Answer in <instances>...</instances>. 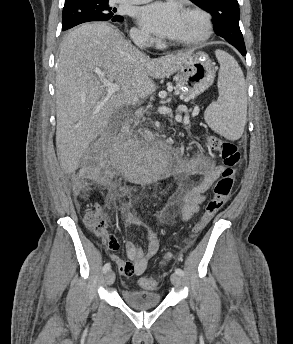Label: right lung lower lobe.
Segmentation results:
<instances>
[{"mask_svg":"<svg viewBox=\"0 0 293 344\" xmlns=\"http://www.w3.org/2000/svg\"><path fill=\"white\" fill-rule=\"evenodd\" d=\"M119 22H121V21H123V18L122 19H120V20H118ZM115 22V21H114Z\"/></svg>","mask_w":293,"mask_h":344,"instance_id":"right-lung-lower-lobe-1","label":"right lung lower lobe"}]
</instances>
